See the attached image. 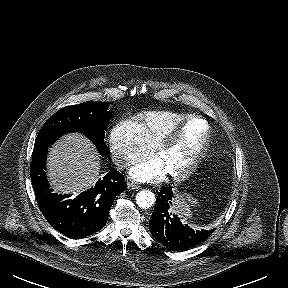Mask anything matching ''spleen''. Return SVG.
Here are the masks:
<instances>
[{"label":"spleen","instance_id":"obj_1","mask_svg":"<svg viewBox=\"0 0 288 288\" xmlns=\"http://www.w3.org/2000/svg\"><path fill=\"white\" fill-rule=\"evenodd\" d=\"M172 202V211L178 214L182 222H185L192 217L191 204H196L195 200L188 196L176 194Z\"/></svg>","mask_w":288,"mask_h":288}]
</instances>
